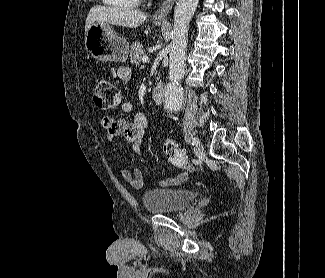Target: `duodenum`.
Listing matches in <instances>:
<instances>
[{
  "label": "duodenum",
  "mask_w": 325,
  "mask_h": 278,
  "mask_svg": "<svg viewBox=\"0 0 325 278\" xmlns=\"http://www.w3.org/2000/svg\"><path fill=\"white\" fill-rule=\"evenodd\" d=\"M153 97L156 104L161 105L164 99L163 85L157 82L153 88Z\"/></svg>",
  "instance_id": "duodenum-1"
}]
</instances>
